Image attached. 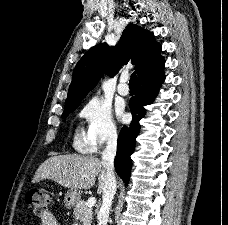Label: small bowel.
Returning a JSON list of instances; mask_svg holds the SVG:
<instances>
[{
	"mask_svg": "<svg viewBox=\"0 0 228 225\" xmlns=\"http://www.w3.org/2000/svg\"><path fill=\"white\" fill-rule=\"evenodd\" d=\"M40 219H41V225H59L57 219L50 212H47Z\"/></svg>",
	"mask_w": 228,
	"mask_h": 225,
	"instance_id": "obj_1",
	"label": "small bowel"
}]
</instances>
